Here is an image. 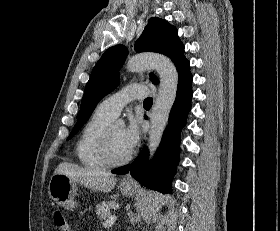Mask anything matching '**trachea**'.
I'll return each mask as SVG.
<instances>
[{"label":"trachea","instance_id":"3493384b","mask_svg":"<svg viewBox=\"0 0 280 231\" xmlns=\"http://www.w3.org/2000/svg\"><path fill=\"white\" fill-rule=\"evenodd\" d=\"M153 103V99L152 98H146L143 102V106L145 109H150Z\"/></svg>","mask_w":280,"mask_h":231}]
</instances>
